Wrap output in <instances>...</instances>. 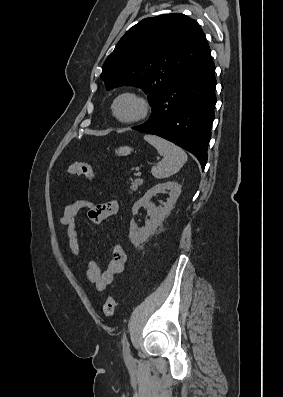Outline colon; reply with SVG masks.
Masks as SVG:
<instances>
[{"label":"colon","instance_id":"colon-1","mask_svg":"<svg viewBox=\"0 0 283 397\" xmlns=\"http://www.w3.org/2000/svg\"><path fill=\"white\" fill-rule=\"evenodd\" d=\"M67 172L72 175L83 177L90 183L94 182V173L92 167L85 162L76 161L71 163L67 168ZM115 308L116 300L113 296H109L103 305L104 315L111 317L115 312Z\"/></svg>","mask_w":283,"mask_h":397}]
</instances>
